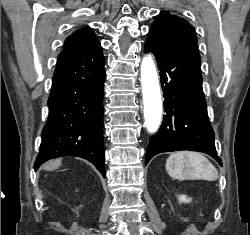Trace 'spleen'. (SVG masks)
Returning a JSON list of instances; mask_svg holds the SVG:
<instances>
[{
    "instance_id": "3e777b00",
    "label": "spleen",
    "mask_w": 250,
    "mask_h": 235,
    "mask_svg": "<svg viewBox=\"0 0 250 235\" xmlns=\"http://www.w3.org/2000/svg\"><path fill=\"white\" fill-rule=\"evenodd\" d=\"M166 170L175 179H203L215 181L218 171L214 165L198 152H176L166 160Z\"/></svg>"
}]
</instances>
